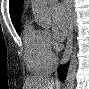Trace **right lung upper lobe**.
<instances>
[{
    "label": "right lung upper lobe",
    "mask_w": 89,
    "mask_h": 89,
    "mask_svg": "<svg viewBox=\"0 0 89 89\" xmlns=\"http://www.w3.org/2000/svg\"><path fill=\"white\" fill-rule=\"evenodd\" d=\"M22 4H23V0H10V4H9L13 25L16 31L20 29Z\"/></svg>",
    "instance_id": "cb5924a9"
}]
</instances>
